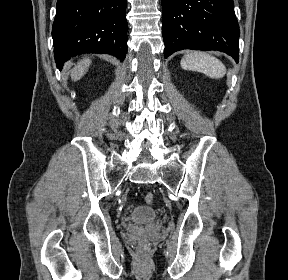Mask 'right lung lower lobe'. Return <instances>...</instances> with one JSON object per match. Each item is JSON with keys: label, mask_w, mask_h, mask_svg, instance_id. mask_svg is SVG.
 Instances as JSON below:
<instances>
[{"label": "right lung lower lobe", "mask_w": 288, "mask_h": 280, "mask_svg": "<svg viewBox=\"0 0 288 280\" xmlns=\"http://www.w3.org/2000/svg\"><path fill=\"white\" fill-rule=\"evenodd\" d=\"M52 37L57 68L74 55L127 53L126 0H58Z\"/></svg>", "instance_id": "obj_1"}]
</instances>
